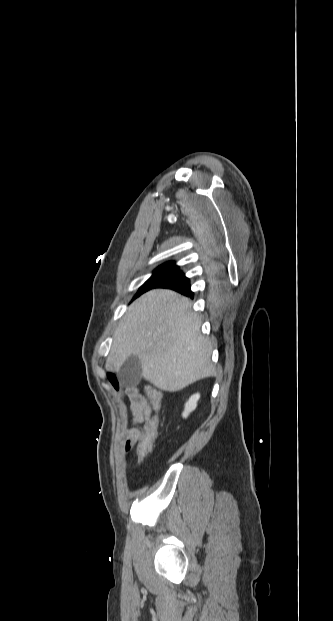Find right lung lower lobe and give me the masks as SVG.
Masks as SVG:
<instances>
[{
	"mask_svg": "<svg viewBox=\"0 0 333 621\" xmlns=\"http://www.w3.org/2000/svg\"><path fill=\"white\" fill-rule=\"evenodd\" d=\"M152 288H169V289L175 290L181 294H184L186 296L193 298V292H191V289H190V281L183 274V272L179 270L162 278Z\"/></svg>",
	"mask_w": 333,
	"mask_h": 621,
	"instance_id": "obj_1",
	"label": "right lung lower lobe"
}]
</instances>
